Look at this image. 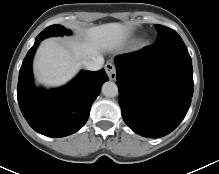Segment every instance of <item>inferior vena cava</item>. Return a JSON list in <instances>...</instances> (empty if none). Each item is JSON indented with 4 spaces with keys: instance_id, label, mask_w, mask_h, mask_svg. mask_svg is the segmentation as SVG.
<instances>
[{
    "instance_id": "inferior-vena-cava-1",
    "label": "inferior vena cava",
    "mask_w": 219,
    "mask_h": 174,
    "mask_svg": "<svg viewBox=\"0 0 219 174\" xmlns=\"http://www.w3.org/2000/svg\"><path fill=\"white\" fill-rule=\"evenodd\" d=\"M103 64H104V58L102 56H98L93 60H87L83 62L85 68L91 71H97L101 69Z\"/></svg>"
}]
</instances>
